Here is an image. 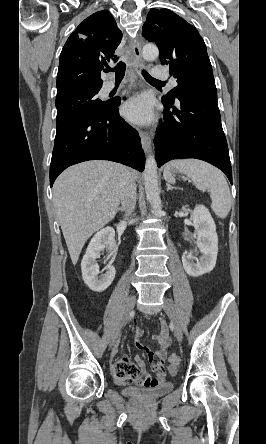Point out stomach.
I'll list each match as a JSON object with an SVG mask.
<instances>
[{
  "label": "stomach",
  "instance_id": "obj_1",
  "mask_svg": "<svg viewBox=\"0 0 266 444\" xmlns=\"http://www.w3.org/2000/svg\"><path fill=\"white\" fill-rule=\"evenodd\" d=\"M177 172H178L177 169H171V170L168 172V175L174 177L175 174H177ZM164 177H165V178L167 177V174H166V173H164Z\"/></svg>",
  "mask_w": 266,
  "mask_h": 444
}]
</instances>
